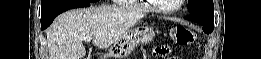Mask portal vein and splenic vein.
Wrapping results in <instances>:
<instances>
[{"instance_id":"18ae733b","label":"portal vein and splenic vein","mask_w":261,"mask_h":59,"mask_svg":"<svg viewBox=\"0 0 261 59\" xmlns=\"http://www.w3.org/2000/svg\"><path fill=\"white\" fill-rule=\"evenodd\" d=\"M91 39H92L91 36H86V37L84 38L85 41H90Z\"/></svg>"}]
</instances>
